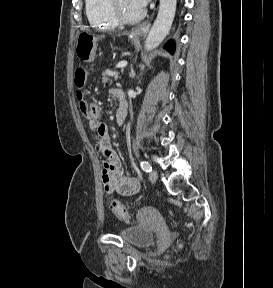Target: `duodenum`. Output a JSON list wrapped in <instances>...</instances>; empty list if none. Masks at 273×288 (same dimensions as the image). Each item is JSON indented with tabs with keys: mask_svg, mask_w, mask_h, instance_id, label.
<instances>
[{
	"mask_svg": "<svg viewBox=\"0 0 273 288\" xmlns=\"http://www.w3.org/2000/svg\"><path fill=\"white\" fill-rule=\"evenodd\" d=\"M116 98L119 102V112L117 115V120L119 123H122L127 114V102L124 93L120 90L116 92Z\"/></svg>",
	"mask_w": 273,
	"mask_h": 288,
	"instance_id": "duodenum-1",
	"label": "duodenum"
}]
</instances>
